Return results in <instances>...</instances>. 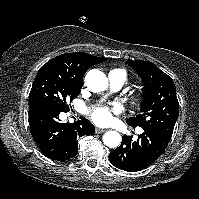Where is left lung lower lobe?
Returning a JSON list of instances; mask_svg holds the SVG:
<instances>
[{
    "instance_id": "obj_1",
    "label": "left lung lower lobe",
    "mask_w": 199,
    "mask_h": 199,
    "mask_svg": "<svg viewBox=\"0 0 199 199\" xmlns=\"http://www.w3.org/2000/svg\"><path fill=\"white\" fill-rule=\"evenodd\" d=\"M170 139L161 132L146 129L136 141L132 136L123 135L121 145L110 152V163L128 172L143 170L165 151Z\"/></svg>"
}]
</instances>
